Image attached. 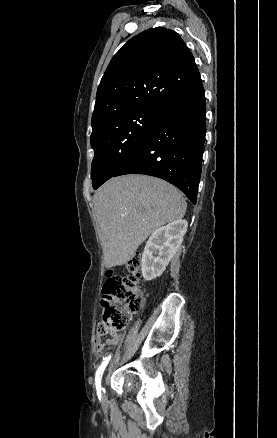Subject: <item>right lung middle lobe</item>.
I'll return each mask as SVG.
<instances>
[{"label": "right lung middle lobe", "instance_id": "1", "mask_svg": "<svg viewBox=\"0 0 277 438\" xmlns=\"http://www.w3.org/2000/svg\"><path fill=\"white\" fill-rule=\"evenodd\" d=\"M160 109H142L117 115L92 125L91 146L94 158L91 167L93 188L97 189L143 143Z\"/></svg>", "mask_w": 277, "mask_h": 438}]
</instances>
